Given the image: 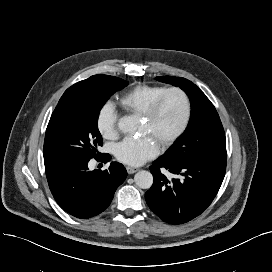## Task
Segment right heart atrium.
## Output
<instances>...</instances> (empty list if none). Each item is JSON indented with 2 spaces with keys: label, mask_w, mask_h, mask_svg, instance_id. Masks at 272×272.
Listing matches in <instances>:
<instances>
[{
  "label": "right heart atrium",
  "mask_w": 272,
  "mask_h": 272,
  "mask_svg": "<svg viewBox=\"0 0 272 272\" xmlns=\"http://www.w3.org/2000/svg\"><path fill=\"white\" fill-rule=\"evenodd\" d=\"M118 114L114 104L106 101L96 116V128L105 139H114L118 135Z\"/></svg>",
  "instance_id": "obj_1"
}]
</instances>
